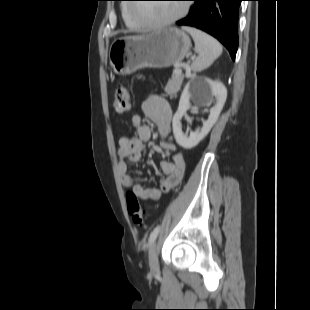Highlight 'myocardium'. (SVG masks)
I'll return each instance as SVG.
<instances>
[{
  "mask_svg": "<svg viewBox=\"0 0 310 310\" xmlns=\"http://www.w3.org/2000/svg\"><path fill=\"white\" fill-rule=\"evenodd\" d=\"M188 12H189V4L185 3V4L182 5L180 12L177 15H175L174 17L169 18V19L164 20V21H161V22H155V21L146 20V19H143V18L137 16L134 13L133 5L129 6V15H130V17L133 20H135L138 23H140L143 27L149 28V29H161V28L168 27V26L176 23L180 19H182L184 16H186V14Z\"/></svg>",
  "mask_w": 310,
  "mask_h": 310,
  "instance_id": "f54148a6",
  "label": "myocardium"
}]
</instances>
